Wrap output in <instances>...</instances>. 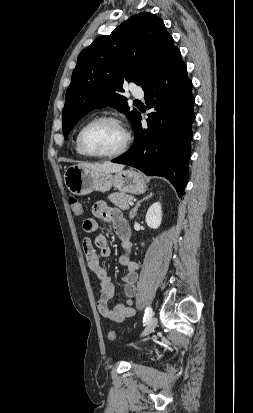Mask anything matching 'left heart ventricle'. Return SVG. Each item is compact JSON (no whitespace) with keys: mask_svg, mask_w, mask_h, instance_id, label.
Listing matches in <instances>:
<instances>
[{"mask_svg":"<svg viewBox=\"0 0 253 413\" xmlns=\"http://www.w3.org/2000/svg\"><path fill=\"white\" fill-rule=\"evenodd\" d=\"M123 141V131L110 122H101L91 126L84 136L86 148L93 153L100 154L118 150Z\"/></svg>","mask_w":253,"mask_h":413,"instance_id":"1","label":"left heart ventricle"}]
</instances>
